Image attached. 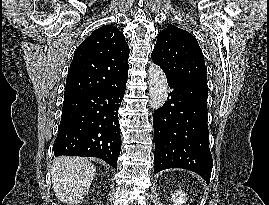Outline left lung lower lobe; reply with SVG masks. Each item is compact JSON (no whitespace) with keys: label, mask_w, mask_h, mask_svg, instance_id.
I'll return each instance as SVG.
<instances>
[{"label":"left lung lower lobe","mask_w":269,"mask_h":205,"mask_svg":"<svg viewBox=\"0 0 269 205\" xmlns=\"http://www.w3.org/2000/svg\"><path fill=\"white\" fill-rule=\"evenodd\" d=\"M168 100L153 114L154 171L183 168L209 183L213 160L209 149L206 81L167 77Z\"/></svg>","instance_id":"0a47b994"}]
</instances>
